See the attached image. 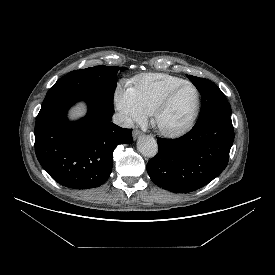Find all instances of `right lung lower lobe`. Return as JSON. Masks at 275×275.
I'll use <instances>...</instances> for the list:
<instances>
[{
	"label": "right lung lower lobe",
	"instance_id": "98d812e1",
	"mask_svg": "<svg viewBox=\"0 0 275 275\" xmlns=\"http://www.w3.org/2000/svg\"><path fill=\"white\" fill-rule=\"evenodd\" d=\"M84 100L86 117L77 122L66 118L68 108ZM113 105L85 93L46 97L35 124V152L45 171L59 184L73 189L102 185L110 176L113 150L131 143V129L111 122Z\"/></svg>",
	"mask_w": 275,
	"mask_h": 275
}]
</instances>
